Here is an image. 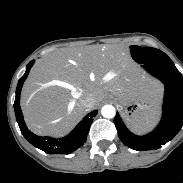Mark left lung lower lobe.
Returning a JSON list of instances; mask_svg holds the SVG:
<instances>
[{
  "label": "left lung lower lobe",
  "mask_w": 183,
  "mask_h": 183,
  "mask_svg": "<svg viewBox=\"0 0 183 183\" xmlns=\"http://www.w3.org/2000/svg\"><path fill=\"white\" fill-rule=\"evenodd\" d=\"M140 64L165 85L162 119L154 131L144 136L132 134L118 113L114 124L120 140L129 148L155 150L173 139L183 125V77L170 58Z\"/></svg>",
  "instance_id": "0a47b994"
}]
</instances>
